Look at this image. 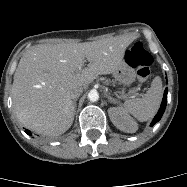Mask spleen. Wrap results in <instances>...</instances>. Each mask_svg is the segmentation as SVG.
Wrapping results in <instances>:
<instances>
[{
	"label": "spleen",
	"instance_id": "1",
	"mask_svg": "<svg viewBox=\"0 0 187 187\" xmlns=\"http://www.w3.org/2000/svg\"><path fill=\"white\" fill-rule=\"evenodd\" d=\"M162 95V81L160 77H155L151 87L142 97L126 101L122 109L139 121H147L157 112Z\"/></svg>",
	"mask_w": 187,
	"mask_h": 187
}]
</instances>
